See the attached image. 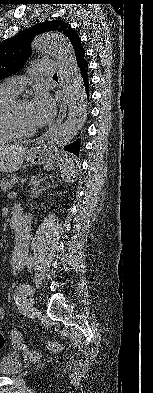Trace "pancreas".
Instances as JSON below:
<instances>
[{"mask_svg": "<svg viewBox=\"0 0 153 393\" xmlns=\"http://www.w3.org/2000/svg\"><path fill=\"white\" fill-rule=\"evenodd\" d=\"M16 182V178L14 176H8L2 180H0V188L3 191H7L11 189Z\"/></svg>", "mask_w": 153, "mask_h": 393, "instance_id": "obj_1", "label": "pancreas"}]
</instances>
